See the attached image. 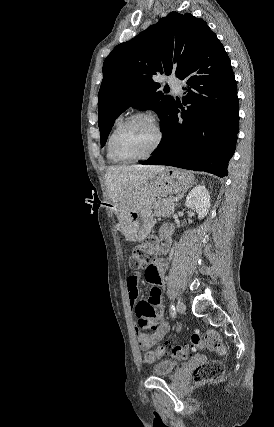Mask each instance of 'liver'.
Listing matches in <instances>:
<instances>
[{
  "label": "liver",
  "mask_w": 274,
  "mask_h": 427,
  "mask_svg": "<svg viewBox=\"0 0 274 427\" xmlns=\"http://www.w3.org/2000/svg\"><path fill=\"white\" fill-rule=\"evenodd\" d=\"M163 170V166H109L105 182L111 202H131L140 182L154 178Z\"/></svg>",
  "instance_id": "6515ba94"
}]
</instances>
